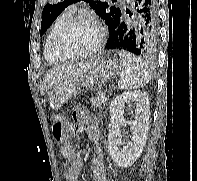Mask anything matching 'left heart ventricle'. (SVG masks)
<instances>
[{
  "instance_id": "obj_1",
  "label": "left heart ventricle",
  "mask_w": 197,
  "mask_h": 181,
  "mask_svg": "<svg viewBox=\"0 0 197 181\" xmlns=\"http://www.w3.org/2000/svg\"><path fill=\"white\" fill-rule=\"evenodd\" d=\"M97 42V31L92 24L80 23L65 35L62 48L66 55H77L92 50Z\"/></svg>"
}]
</instances>
